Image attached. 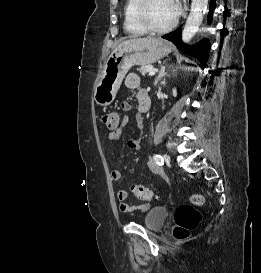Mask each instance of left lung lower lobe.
I'll return each instance as SVG.
<instances>
[{
	"label": "left lung lower lobe",
	"instance_id": "obj_1",
	"mask_svg": "<svg viewBox=\"0 0 261 273\" xmlns=\"http://www.w3.org/2000/svg\"><path fill=\"white\" fill-rule=\"evenodd\" d=\"M214 9H215V0H211L210 12L208 15V22L212 20V14ZM162 38L171 41L181 51L188 53L191 56L197 58L201 63V67L205 68L207 60H208L209 50H210V43L208 40H203L200 43L196 44L195 46L189 48L186 45H184L181 41V28L178 31H173L169 34L162 36Z\"/></svg>",
	"mask_w": 261,
	"mask_h": 273
}]
</instances>
